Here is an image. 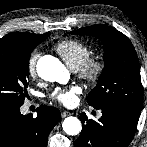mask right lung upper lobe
<instances>
[{
    "mask_svg": "<svg viewBox=\"0 0 147 147\" xmlns=\"http://www.w3.org/2000/svg\"><path fill=\"white\" fill-rule=\"evenodd\" d=\"M47 33L39 35V34H33V33H23V32H13L10 33L3 38L0 39V41H7V42H30L39 38H43L46 36Z\"/></svg>",
    "mask_w": 147,
    "mask_h": 147,
    "instance_id": "right-lung-upper-lobe-1",
    "label": "right lung upper lobe"
}]
</instances>
